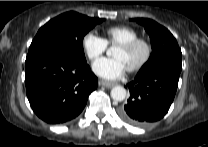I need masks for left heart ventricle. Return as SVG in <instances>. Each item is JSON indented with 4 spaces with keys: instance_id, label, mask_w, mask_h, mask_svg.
Returning <instances> with one entry per match:
<instances>
[{
    "instance_id": "1",
    "label": "left heart ventricle",
    "mask_w": 208,
    "mask_h": 147,
    "mask_svg": "<svg viewBox=\"0 0 208 147\" xmlns=\"http://www.w3.org/2000/svg\"><path fill=\"white\" fill-rule=\"evenodd\" d=\"M145 50L142 46H138L132 50H126L121 47H116L113 51L114 57L123 60L127 68L137 64L144 56Z\"/></svg>"
}]
</instances>
